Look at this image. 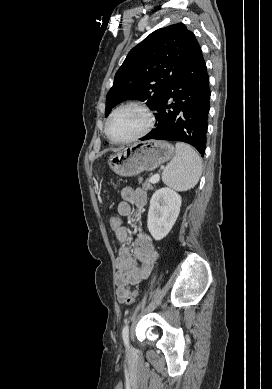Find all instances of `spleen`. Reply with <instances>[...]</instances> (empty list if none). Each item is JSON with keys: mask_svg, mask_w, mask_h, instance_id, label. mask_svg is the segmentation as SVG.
Returning a JSON list of instances; mask_svg holds the SVG:
<instances>
[{"mask_svg": "<svg viewBox=\"0 0 272 389\" xmlns=\"http://www.w3.org/2000/svg\"><path fill=\"white\" fill-rule=\"evenodd\" d=\"M176 155L165 167L162 181L177 191H187L199 181L202 160L199 154L185 143H176Z\"/></svg>", "mask_w": 272, "mask_h": 389, "instance_id": "obj_1", "label": "spleen"}]
</instances>
